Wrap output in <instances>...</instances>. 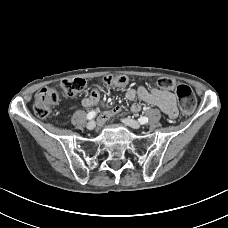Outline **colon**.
<instances>
[{
    "mask_svg": "<svg viewBox=\"0 0 228 228\" xmlns=\"http://www.w3.org/2000/svg\"><path fill=\"white\" fill-rule=\"evenodd\" d=\"M104 83L108 86L122 87L129 83V78L124 75H109L104 77ZM159 88L163 90H175L181 110L188 114L196 107V96L193 90L185 84H177L169 77H162L157 81ZM86 81L83 78H68L61 83V92L65 97L76 96L85 88ZM59 100V93L53 88L41 89L35 97L33 109L39 118L48 117L53 107Z\"/></svg>",
    "mask_w": 228,
    "mask_h": 228,
    "instance_id": "1",
    "label": "colon"
}]
</instances>
